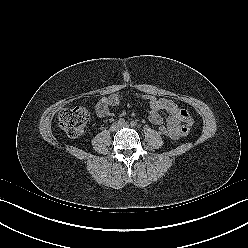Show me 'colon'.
Here are the masks:
<instances>
[{"label": "colon", "mask_w": 248, "mask_h": 248, "mask_svg": "<svg viewBox=\"0 0 248 248\" xmlns=\"http://www.w3.org/2000/svg\"><path fill=\"white\" fill-rule=\"evenodd\" d=\"M88 120V110L78 106L61 111L58 116V125L69 137L77 138L84 133ZM159 133L166 138L173 139L171 130L165 125L159 126Z\"/></svg>", "instance_id": "1"}]
</instances>
